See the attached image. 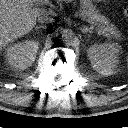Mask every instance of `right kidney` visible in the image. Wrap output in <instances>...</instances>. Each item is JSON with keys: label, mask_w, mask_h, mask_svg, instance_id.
<instances>
[{"label": "right kidney", "mask_w": 128, "mask_h": 128, "mask_svg": "<svg viewBox=\"0 0 128 128\" xmlns=\"http://www.w3.org/2000/svg\"><path fill=\"white\" fill-rule=\"evenodd\" d=\"M38 48L39 42L34 40L10 44L5 52L6 61L11 67L24 70L35 61Z\"/></svg>", "instance_id": "right-kidney-1"}]
</instances>
